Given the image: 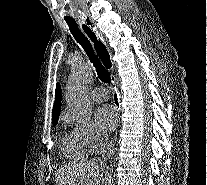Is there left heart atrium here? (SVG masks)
Instances as JSON below:
<instances>
[{
    "instance_id": "1",
    "label": "left heart atrium",
    "mask_w": 207,
    "mask_h": 185,
    "mask_svg": "<svg viewBox=\"0 0 207 185\" xmlns=\"http://www.w3.org/2000/svg\"><path fill=\"white\" fill-rule=\"evenodd\" d=\"M117 119V110L111 105H102L96 112L97 123L100 129L104 132L112 130L117 123Z\"/></svg>"
}]
</instances>
